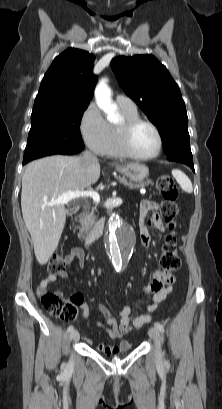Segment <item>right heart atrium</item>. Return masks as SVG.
I'll return each instance as SVG.
<instances>
[{"label": "right heart atrium", "mask_w": 222, "mask_h": 409, "mask_svg": "<svg viewBox=\"0 0 222 409\" xmlns=\"http://www.w3.org/2000/svg\"><path fill=\"white\" fill-rule=\"evenodd\" d=\"M79 129L87 146L104 154L111 140L110 126L95 103H90L83 111Z\"/></svg>", "instance_id": "obj_1"}]
</instances>
